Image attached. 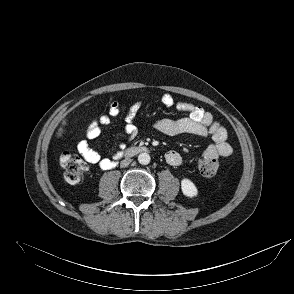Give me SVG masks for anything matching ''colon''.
Listing matches in <instances>:
<instances>
[{"mask_svg": "<svg viewBox=\"0 0 294 294\" xmlns=\"http://www.w3.org/2000/svg\"><path fill=\"white\" fill-rule=\"evenodd\" d=\"M59 163L64 169V178L68 183L75 185L82 182L87 165L77 153L63 151L59 156ZM198 168L204 177H213L218 171L219 163L216 158L201 156Z\"/></svg>", "mask_w": 294, "mask_h": 294, "instance_id": "5ec220e1", "label": "colon"}]
</instances>
